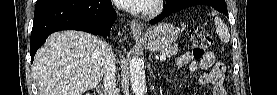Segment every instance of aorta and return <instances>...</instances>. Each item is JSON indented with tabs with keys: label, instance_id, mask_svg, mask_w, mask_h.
<instances>
[{
	"label": "aorta",
	"instance_id": "obj_1",
	"mask_svg": "<svg viewBox=\"0 0 277 95\" xmlns=\"http://www.w3.org/2000/svg\"><path fill=\"white\" fill-rule=\"evenodd\" d=\"M129 72L133 95H145L147 88L143 61L138 57H132Z\"/></svg>",
	"mask_w": 277,
	"mask_h": 95
}]
</instances>
